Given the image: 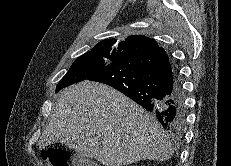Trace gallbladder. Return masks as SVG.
Returning a JSON list of instances; mask_svg holds the SVG:
<instances>
[{
    "label": "gallbladder",
    "instance_id": "bac80fb5",
    "mask_svg": "<svg viewBox=\"0 0 231 166\" xmlns=\"http://www.w3.org/2000/svg\"><path fill=\"white\" fill-rule=\"evenodd\" d=\"M73 166H92V162L87 158H81L79 156H74L72 160Z\"/></svg>",
    "mask_w": 231,
    "mask_h": 166
}]
</instances>
